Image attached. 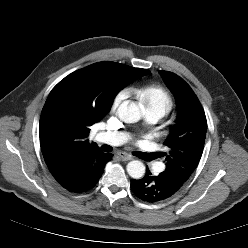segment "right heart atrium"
Wrapping results in <instances>:
<instances>
[{
    "instance_id": "1",
    "label": "right heart atrium",
    "mask_w": 248,
    "mask_h": 248,
    "mask_svg": "<svg viewBox=\"0 0 248 248\" xmlns=\"http://www.w3.org/2000/svg\"><path fill=\"white\" fill-rule=\"evenodd\" d=\"M126 91L125 90H120L118 91L112 101V108L116 109L122 102L123 100L126 98Z\"/></svg>"
}]
</instances>
